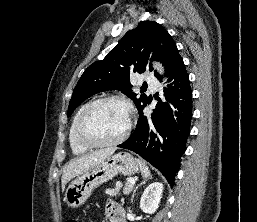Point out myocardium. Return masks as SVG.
<instances>
[{"instance_id":"myocardium-1","label":"myocardium","mask_w":257,"mask_h":222,"mask_svg":"<svg viewBox=\"0 0 257 222\" xmlns=\"http://www.w3.org/2000/svg\"><path fill=\"white\" fill-rule=\"evenodd\" d=\"M109 102H118L121 103L123 106L128 111V123L123 131V133L118 136L116 139L111 140V141H95L92 138H90L88 135H86L84 131V124L88 118V116L99 106L109 103ZM132 107L130 102L122 97V96H117V95H112V96H107L100 98L92 103H90L84 111L81 113L79 116L77 123H76V128H75V136L78 142L86 147L89 148H104V147H111V146H116L120 143H122L130 134L132 126H133V117H132Z\"/></svg>"}]
</instances>
